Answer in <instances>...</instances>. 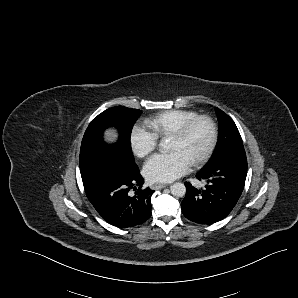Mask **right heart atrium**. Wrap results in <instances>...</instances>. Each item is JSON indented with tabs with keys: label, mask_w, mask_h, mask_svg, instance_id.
I'll use <instances>...</instances> for the list:
<instances>
[{
	"label": "right heart atrium",
	"mask_w": 298,
	"mask_h": 298,
	"mask_svg": "<svg viewBox=\"0 0 298 298\" xmlns=\"http://www.w3.org/2000/svg\"><path fill=\"white\" fill-rule=\"evenodd\" d=\"M130 141L134 153L141 158L149 155L158 146L156 135L138 124L134 125L131 130Z\"/></svg>",
	"instance_id": "d8ad5b80"
}]
</instances>
